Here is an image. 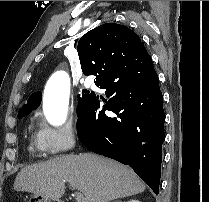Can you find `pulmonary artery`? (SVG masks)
Returning a JSON list of instances; mask_svg holds the SVG:
<instances>
[{"label":"pulmonary artery","instance_id":"obj_1","mask_svg":"<svg viewBox=\"0 0 209 202\" xmlns=\"http://www.w3.org/2000/svg\"><path fill=\"white\" fill-rule=\"evenodd\" d=\"M91 83H92V81H90V80H84V81H82V84L84 86H89V85H91Z\"/></svg>","mask_w":209,"mask_h":202}]
</instances>
